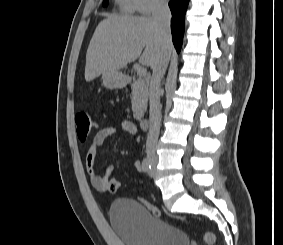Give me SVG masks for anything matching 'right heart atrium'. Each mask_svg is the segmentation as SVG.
Wrapping results in <instances>:
<instances>
[{
    "label": "right heart atrium",
    "instance_id": "obj_1",
    "mask_svg": "<svg viewBox=\"0 0 283 245\" xmlns=\"http://www.w3.org/2000/svg\"><path fill=\"white\" fill-rule=\"evenodd\" d=\"M136 11L142 14L151 12L163 6L165 0H132Z\"/></svg>",
    "mask_w": 283,
    "mask_h": 245
}]
</instances>
